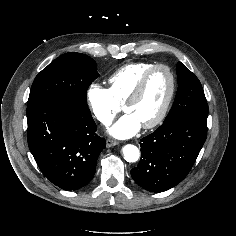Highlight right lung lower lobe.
<instances>
[{
    "label": "right lung lower lobe",
    "instance_id": "98d812e1",
    "mask_svg": "<svg viewBox=\"0 0 236 236\" xmlns=\"http://www.w3.org/2000/svg\"><path fill=\"white\" fill-rule=\"evenodd\" d=\"M27 121L29 149L54 185L73 191L93 178L106 146L88 107L38 102L28 105Z\"/></svg>",
    "mask_w": 236,
    "mask_h": 236
}]
</instances>
